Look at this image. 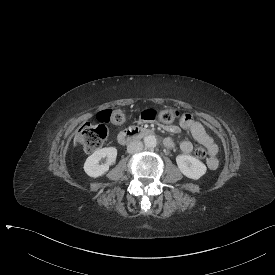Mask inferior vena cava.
I'll return each instance as SVG.
<instances>
[{"label": "inferior vena cava", "instance_id": "inferior-vena-cava-1", "mask_svg": "<svg viewBox=\"0 0 275 275\" xmlns=\"http://www.w3.org/2000/svg\"><path fill=\"white\" fill-rule=\"evenodd\" d=\"M143 149V143L141 141H133L127 146L128 153L140 152Z\"/></svg>", "mask_w": 275, "mask_h": 275}]
</instances>
